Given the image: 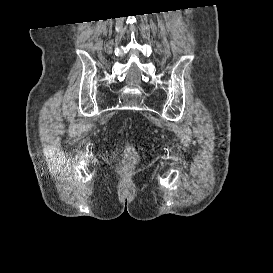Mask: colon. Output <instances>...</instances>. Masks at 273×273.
<instances>
[{"label": "colon", "instance_id": "colon-1", "mask_svg": "<svg viewBox=\"0 0 273 273\" xmlns=\"http://www.w3.org/2000/svg\"><path fill=\"white\" fill-rule=\"evenodd\" d=\"M136 155V150L132 144H127L124 147L122 158L125 164L129 163Z\"/></svg>", "mask_w": 273, "mask_h": 273}]
</instances>
